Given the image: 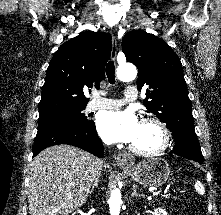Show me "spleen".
I'll list each match as a JSON object with an SVG mask.
<instances>
[{
	"label": "spleen",
	"instance_id": "obj_1",
	"mask_svg": "<svg viewBox=\"0 0 221 215\" xmlns=\"http://www.w3.org/2000/svg\"><path fill=\"white\" fill-rule=\"evenodd\" d=\"M195 189L197 190V192L201 195H203L205 193V189L203 187V185L201 184V182L196 181L195 183Z\"/></svg>",
	"mask_w": 221,
	"mask_h": 215
}]
</instances>
